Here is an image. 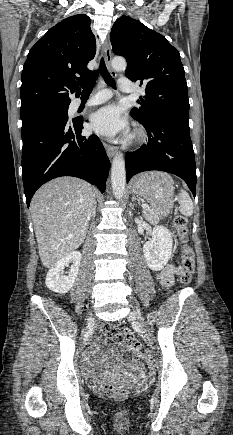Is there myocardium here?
Returning <instances> with one entry per match:
<instances>
[{
  "label": "myocardium",
  "instance_id": "1",
  "mask_svg": "<svg viewBox=\"0 0 233 435\" xmlns=\"http://www.w3.org/2000/svg\"><path fill=\"white\" fill-rule=\"evenodd\" d=\"M146 137V134L144 131L142 130H138L135 132V134L133 135V142L137 143V142H141L142 140H144Z\"/></svg>",
  "mask_w": 233,
  "mask_h": 435
}]
</instances>
